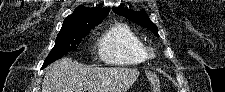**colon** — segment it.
Listing matches in <instances>:
<instances>
[{
  "label": "colon",
  "instance_id": "5ec220e1",
  "mask_svg": "<svg viewBox=\"0 0 225 92\" xmlns=\"http://www.w3.org/2000/svg\"><path fill=\"white\" fill-rule=\"evenodd\" d=\"M147 77H148L149 81L151 82V84L154 88V91L159 92L160 88H159V80H158L157 76H155L153 74H148Z\"/></svg>",
  "mask_w": 225,
  "mask_h": 92
}]
</instances>
